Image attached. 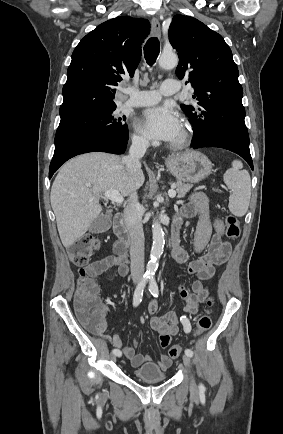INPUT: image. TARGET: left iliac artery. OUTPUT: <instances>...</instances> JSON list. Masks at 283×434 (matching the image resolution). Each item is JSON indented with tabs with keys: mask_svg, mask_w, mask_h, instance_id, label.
Returning <instances> with one entry per match:
<instances>
[{
	"mask_svg": "<svg viewBox=\"0 0 283 434\" xmlns=\"http://www.w3.org/2000/svg\"><path fill=\"white\" fill-rule=\"evenodd\" d=\"M149 291H150V293L154 296V297H158V295H159V290H158V285H157V283H156V280H155V278L154 277H151V278H149ZM181 322H182V324H183V326H184V330H185V332H189L190 330H191V326H190V322H189V320L186 318V317H182L181 318ZM185 354L187 355V356H189V357H192L193 356V352H192V350L191 349H186L185 350ZM199 390L201 391V392H204L205 391V386L203 385V384H200L199 385Z\"/></svg>",
	"mask_w": 283,
	"mask_h": 434,
	"instance_id": "1",
	"label": "left iliac artery"
}]
</instances>
